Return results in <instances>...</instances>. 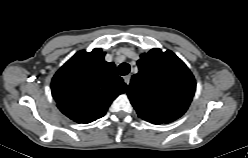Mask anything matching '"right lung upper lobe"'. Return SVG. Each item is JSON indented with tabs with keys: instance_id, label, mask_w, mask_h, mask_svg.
<instances>
[{
	"instance_id": "cb5924a9",
	"label": "right lung upper lobe",
	"mask_w": 248,
	"mask_h": 158,
	"mask_svg": "<svg viewBox=\"0 0 248 158\" xmlns=\"http://www.w3.org/2000/svg\"><path fill=\"white\" fill-rule=\"evenodd\" d=\"M104 56L101 49L80 51L52 79V96L58 108L77 123L101 118L112 101L126 91L114 63L106 62Z\"/></svg>"
}]
</instances>
